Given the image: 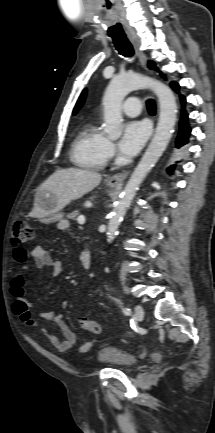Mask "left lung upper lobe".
Returning <instances> with one entry per match:
<instances>
[{
	"label": "left lung upper lobe",
	"mask_w": 215,
	"mask_h": 433,
	"mask_svg": "<svg viewBox=\"0 0 215 433\" xmlns=\"http://www.w3.org/2000/svg\"><path fill=\"white\" fill-rule=\"evenodd\" d=\"M148 65L151 69H156L155 64L152 61H149Z\"/></svg>",
	"instance_id": "obj_1"
}]
</instances>
